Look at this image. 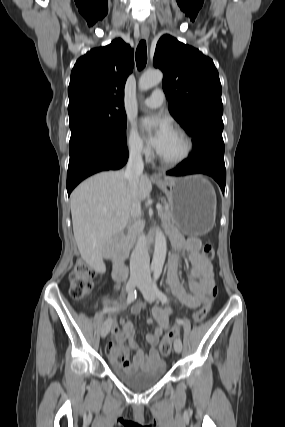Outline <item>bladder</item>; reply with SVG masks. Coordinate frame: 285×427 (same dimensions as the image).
<instances>
[{"instance_id":"1","label":"bladder","mask_w":285,"mask_h":427,"mask_svg":"<svg viewBox=\"0 0 285 427\" xmlns=\"http://www.w3.org/2000/svg\"><path fill=\"white\" fill-rule=\"evenodd\" d=\"M114 373L127 386L135 390H145L159 382L166 373V366L162 362L159 366L148 370L131 371L128 368L115 366Z\"/></svg>"}]
</instances>
